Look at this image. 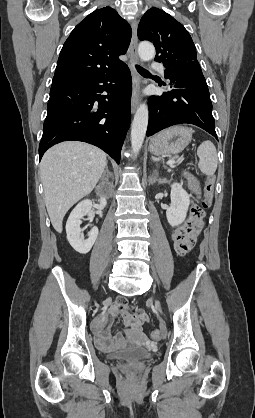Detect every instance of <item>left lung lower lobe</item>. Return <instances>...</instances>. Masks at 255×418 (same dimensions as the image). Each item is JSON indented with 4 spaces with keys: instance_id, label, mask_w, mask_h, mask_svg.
Returning <instances> with one entry per match:
<instances>
[{
    "instance_id": "obj_1",
    "label": "left lung lower lobe",
    "mask_w": 255,
    "mask_h": 418,
    "mask_svg": "<svg viewBox=\"0 0 255 418\" xmlns=\"http://www.w3.org/2000/svg\"><path fill=\"white\" fill-rule=\"evenodd\" d=\"M164 73L172 90L149 98L147 136L172 125L189 123L218 139L209 90L199 63L165 69Z\"/></svg>"
}]
</instances>
